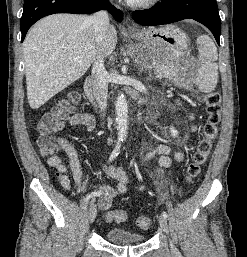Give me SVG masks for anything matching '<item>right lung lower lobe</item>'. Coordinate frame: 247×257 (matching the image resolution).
Listing matches in <instances>:
<instances>
[{"mask_svg":"<svg viewBox=\"0 0 247 257\" xmlns=\"http://www.w3.org/2000/svg\"><path fill=\"white\" fill-rule=\"evenodd\" d=\"M106 7L116 21H122L121 11L110 5L107 0H25L21 17V42L28 29L47 15L55 13L90 14Z\"/></svg>","mask_w":247,"mask_h":257,"instance_id":"right-lung-lower-lobe-1","label":"right lung lower lobe"}]
</instances>
